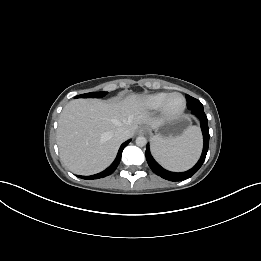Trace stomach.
Returning <instances> with one entry per match:
<instances>
[{
	"mask_svg": "<svg viewBox=\"0 0 261 261\" xmlns=\"http://www.w3.org/2000/svg\"><path fill=\"white\" fill-rule=\"evenodd\" d=\"M190 125V118L182 116L172 120L164 121L159 127L155 128V136L157 138H172L181 135Z\"/></svg>",
	"mask_w": 261,
	"mask_h": 261,
	"instance_id": "stomach-1",
	"label": "stomach"
}]
</instances>
